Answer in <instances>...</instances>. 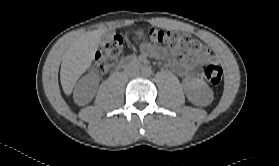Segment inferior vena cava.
Here are the masks:
<instances>
[{
  "instance_id": "inferior-vena-cava-1",
  "label": "inferior vena cava",
  "mask_w": 279,
  "mask_h": 166,
  "mask_svg": "<svg viewBox=\"0 0 279 166\" xmlns=\"http://www.w3.org/2000/svg\"><path fill=\"white\" fill-rule=\"evenodd\" d=\"M139 71L137 69H135L133 72H129L130 76H136L138 75Z\"/></svg>"
}]
</instances>
